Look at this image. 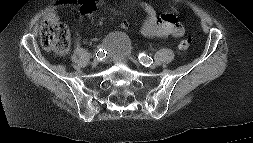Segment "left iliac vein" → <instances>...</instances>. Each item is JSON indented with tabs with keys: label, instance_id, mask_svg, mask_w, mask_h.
Here are the masks:
<instances>
[{
	"label": "left iliac vein",
	"instance_id": "4c4485c4",
	"mask_svg": "<svg viewBox=\"0 0 253 143\" xmlns=\"http://www.w3.org/2000/svg\"><path fill=\"white\" fill-rule=\"evenodd\" d=\"M150 68H151V69H154V68H155V64H151V65H150Z\"/></svg>",
	"mask_w": 253,
	"mask_h": 143
}]
</instances>
